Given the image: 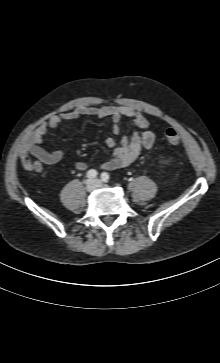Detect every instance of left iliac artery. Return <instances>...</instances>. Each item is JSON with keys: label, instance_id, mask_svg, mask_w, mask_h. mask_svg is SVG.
Instances as JSON below:
<instances>
[{"label": "left iliac artery", "instance_id": "44dca946", "mask_svg": "<svg viewBox=\"0 0 220 363\" xmlns=\"http://www.w3.org/2000/svg\"><path fill=\"white\" fill-rule=\"evenodd\" d=\"M101 179H102V181H104V182H108V181L110 180V176H109V174H108L107 172H103V173L101 174Z\"/></svg>", "mask_w": 220, "mask_h": 363}]
</instances>
